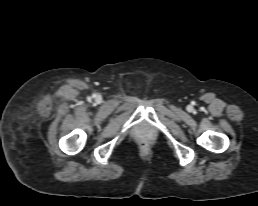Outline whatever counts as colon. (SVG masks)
<instances>
[{
    "mask_svg": "<svg viewBox=\"0 0 258 206\" xmlns=\"http://www.w3.org/2000/svg\"><path fill=\"white\" fill-rule=\"evenodd\" d=\"M141 147H142V149H147L148 148V143L147 142H142Z\"/></svg>",
    "mask_w": 258,
    "mask_h": 206,
    "instance_id": "colon-1",
    "label": "colon"
}]
</instances>
